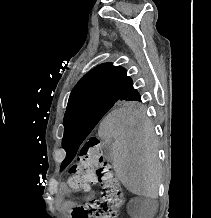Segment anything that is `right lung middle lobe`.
<instances>
[{"instance_id":"obj_1","label":"right lung middle lobe","mask_w":211,"mask_h":218,"mask_svg":"<svg viewBox=\"0 0 211 218\" xmlns=\"http://www.w3.org/2000/svg\"><path fill=\"white\" fill-rule=\"evenodd\" d=\"M140 98L86 101L66 110L63 143H81L109 110L138 109Z\"/></svg>"}]
</instances>
